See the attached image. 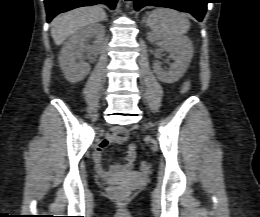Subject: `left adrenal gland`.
Listing matches in <instances>:
<instances>
[{"instance_id": "left-adrenal-gland-1", "label": "left adrenal gland", "mask_w": 260, "mask_h": 217, "mask_svg": "<svg viewBox=\"0 0 260 217\" xmlns=\"http://www.w3.org/2000/svg\"><path fill=\"white\" fill-rule=\"evenodd\" d=\"M146 21H147V19H146V17H144L143 20H142V22L144 23V22H146Z\"/></svg>"}]
</instances>
